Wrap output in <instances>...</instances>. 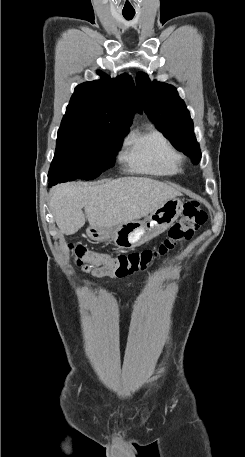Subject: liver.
Returning a JSON list of instances; mask_svg holds the SVG:
<instances>
[{"instance_id":"1","label":"liver","mask_w":245,"mask_h":457,"mask_svg":"<svg viewBox=\"0 0 245 457\" xmlns=\"http://www.w3.org/2000/svg\"><path fill=\"white\" fill-rule=\"evenodd\" d=\"M49 194L58 229L64 235H74L85 224L83 206L91 226H114L148 216L163 200L181 192L153 178L121 176L102 184L63 182L53 186Z\"/></svg>"}]
</instances>
